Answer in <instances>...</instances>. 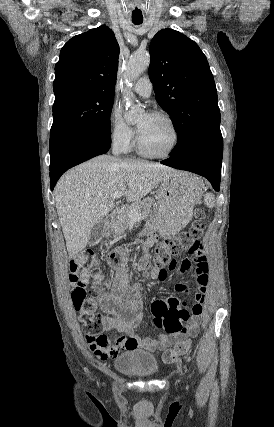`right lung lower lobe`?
I'll return each instance as SVG.
<instances>
[{"label": "right lung lower lobe", "mask_w": 274, "mask_h": 427, "mask_svg": "<svg viewBox=\"0 0 274 427\" xmlns=\"http://www.w3.org/2000/svg\"><path fill=\"white\" fill-rule=\"evenodd\" d=\"M111 136L88 134L66 141L50 154V188L53 190L60 176L69 168L92 157L106 153Z\"/></svg>", "instance_id": "right-lung-lower-lobe-1"}]
</instances>
